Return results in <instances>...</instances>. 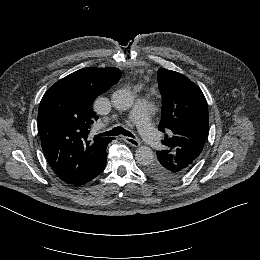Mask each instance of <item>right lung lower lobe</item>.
<instances>
[{
	"mask_svg": "<svg viewBox=\"0 0 260 260\" xmlns=\"http://www.w3.org/2000/svg\"><path fill=\"white\" fill-rule=\"evenodd\" d=\"M106 165V164H105ZM105 165L103 168L99 169L96 173L92 174L91 176L85 178V179H82L80 181H77V182H74L72 183L73 185H82V184H85L89 181H91L92 179H94L96 176H98L105 168Z\"/></svg>",
	"mask_w": 260,
	"mask_h": 260,
	"instance_id": "obj_1",
	"label": "right lung lower lobe"
}]
</instances>
